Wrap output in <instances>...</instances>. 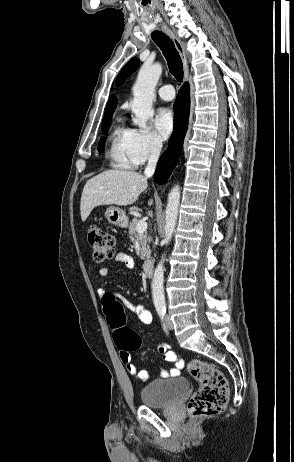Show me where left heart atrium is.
Masks as SVG:
<instances>
[{"label": "left heart atrium", "instance_id": "obj_1", "mask_svg": "<svg viewBox=\"0 0 294 462\" xmlns=\"http://www.w3.org/2000/svg\"><path fill=\"white\" fill-rule=\"evenodd\" d=\"M155 129L162 140H166L174 128V115L170 109H161L154 120Z\"/></svg>", "mask_w": 294, "mask_h": 462}]
</instances>
